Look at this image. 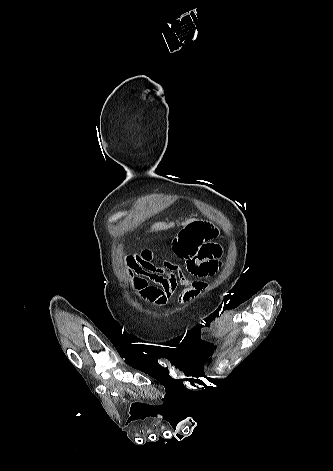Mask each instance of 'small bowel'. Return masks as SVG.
<instances>
[{
  "instance_id": "small-bowel-1",
  "label": "small bowel",
  "mask_w": 333,
  "mask_h": 471,
  "mask_svg": "<svg viewBox=\"0 0 333 471\" xmlns=\"http://www.w3.org/2000/svg\"><path fill=\"white\" fill-rule=\"evenodd\" d=\"M216 235V229L207 221L193 219L186 223L173 240V250L184 261V267L169 260L157 263L149 250L128 256L125 272L131 288L141 300L157 307L164 306L179 287H183L179 302L192 301L206 287L201 279L219 268L222 250L214 242Z\"/></svg>"
}]
</instances>
